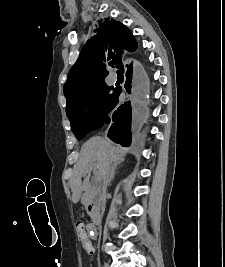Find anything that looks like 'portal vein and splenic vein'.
I'll return each instance as SVG.
<instances>
[{"mask_svg":"<svg viewBox=\"0 0 225 267\" xmlns=\"http://www.w3.org/2000/svg\"><path fill=\"white\" fill-rule=\"evenodd\" d=\"M94 174H95V176H97V172L96 171H94Z\"/></svg>","mask_w":225,"mask_h":267,"instance_id":"1","label":"portal vein and splenic vein"}]
</instances>
